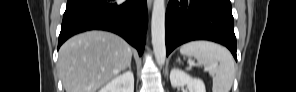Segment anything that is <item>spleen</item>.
<instances>
[{
  "label": "spleen",
  "mask_w": 296,
  "mask_h": 92,
  "mask_svg": "<svg viewBox=\"0 0 296 92\" xmlns=\"http://www.w3.org/2000/svg\"><path fill=\"white\" fill-rule=\"evenodd\" d=\"M180 53L194 56L213 77V92H229L234 79V61L230 52L209 41H192L181 46Z\"/></svg>",
  "instance_id": "obj_1"
}]
</instances>
